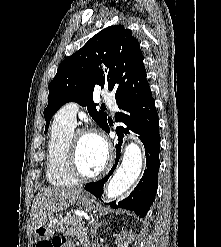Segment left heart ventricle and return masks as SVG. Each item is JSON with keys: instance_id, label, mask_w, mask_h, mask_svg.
I'll list each match as a JSON object with an SVG mask.
<instances>
[{"instance_id": "b2bd125f", "label": "left heart ventricle", "mask_w": 221, "mask_h": 247, "mask_svg": "<svg viewBox=\"0 0 221 247\" xmlns=\"http://www.w3.org/2000/svg\"><path fill=\"white\" fill-rule=\"evenodd\" d=\"M78 162L84 174L99 172L106 162V149L102 141L93 135H84L78 145Z\"/></svg>"}]
</instances>
